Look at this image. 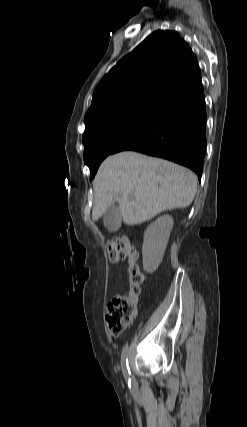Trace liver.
Masks as SVG:
<instances>
[{
    "instance_id": "6515ba94",
    "label": "liver",
    "mask_w": 247,
    "mask_h": 427,
    "mask_svg": "<svg viewBox=\"0 0 247 427\" xmlns=\"http://www.w3.org/2000/svg\"><path fill=\"white\" fill-rule=\"evenodd\" d=\"M93 187V221L117 201L124 223L133 226L163 211L189 206L196 194L197 177L173 162L124 151L102 162Z\"/></svg>"
}]
</instances>
